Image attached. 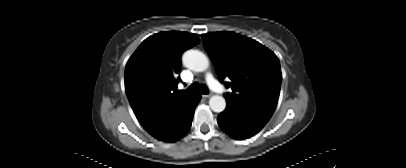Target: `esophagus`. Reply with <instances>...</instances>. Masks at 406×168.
<instances>
[{
    "label": "esophagus",
    "instance_id": "esophagus-1",
    "mask_svg": "<svg viewBox=\"0 0 406 168\" xmlns=\"http://www.w3.org/2000/svg\"><path fill=\"white\" fill-rule=\"evenodd\" d=\"M202 97L209 98V97H211V94H203Z\"/></svg>",
    "mask_w": 406,
    "mask_h": 168
}]
</instances>
